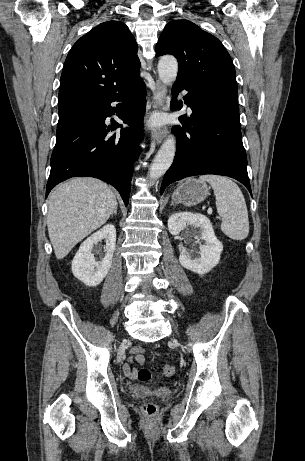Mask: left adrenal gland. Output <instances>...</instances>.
<instances>
[{
    "label": "left adrenal gland",
    "mask_w": 305,
    "mask_h": 461,
    "mask_svg": "<svg viewBox=\"0 0 305 461\" xmlns=\"http://www.w3.org/2000/svg\"><path fill=\"white\" fill-rule=\"evenodd\" d=\"M171 206H175V205H174V202L171 203Z\"/></svg>",
    "instance_id": "1"
}]
</instances>
